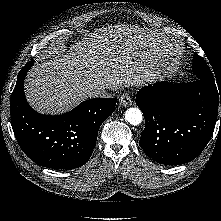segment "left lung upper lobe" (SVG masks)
Segmentation results:
<instances>
[{
	"label": "left lung upper lobe",
	"instance_id": "left-lung-upper-lobe-1",
	"mask_svg": "<svg viewBox=\"0 0 221 221\" xmlns=\"http://www.w3.org/2000/svg\"><path fill=\"white\" fill-rule=\"evenodd\" d=\"M193 72L196 75L197 79H202L208 83L215 85V81L210 68L206 64L205 60L197 54L193 56Z\"/></svg>",
	"mask_w": 221,
	"mask_h": 221
}]
</instances>
